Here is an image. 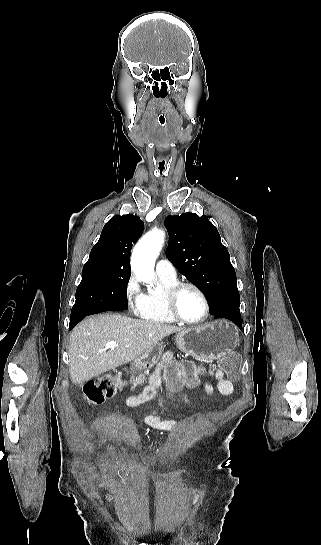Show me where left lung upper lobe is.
Instances as JSON below:
<instances>
[{
    "label": "left lung upper lobe",
    "mask_w": 321,
    "mask_h": 545,
    "mask_svg": "<svg viewBox=\"0 0 321 545\" xmlns=\"http://www.w3.org/2000/svg\"><path fill=\"white\" fill-rule=\"evenodd\" d=\"M167 257L208 298L210 308L239 299L237 278L230 255L208 217L195 213L168 216Z\"/></svg>",
    "instance_id": "5c2ea615"
}]
</instances>
